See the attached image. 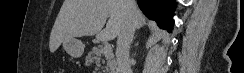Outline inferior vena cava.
<instances>
[{
	"label": "inferior vena cava",
	"instance_id": "inferior-vena-cava-1",
	"mask_svg": "<svg viewBox=\"0 0 244 73\" xmlns=\"http://www.w3.org/2000/svg\"><path fill=\"white\" fill-rule=\"evenodd\" d=\"M124 23L117 38L116 59L119 73H132L129 59L130 43L135 32V0H123Z\"/></svg>",
	"mask_w": 244,
	"mask_h": 73
}]
</instances>
